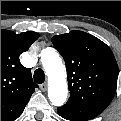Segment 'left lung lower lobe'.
Returning <instances> with one entry per match:
<instances>
[{
	"mask_svg": "<svg viewBox=\"0 0 121 121\" xmlns=\"http://www.w3.org/2000/svg\"><path fill=\"white\" fill-rule=\"evenodd\" d=\"M60 114V113H59ZM61 115V114H60ZM63 118L67 119V120H71V121H77V120H74V119H71V118H68V117H65L63 115H61Z\"/></svg>",
	"mask_w": 121,
	"mask_h": 121,
	"instance_id": "obj_1",
	"label": "left lung lower lobe"
}]
</instances>
